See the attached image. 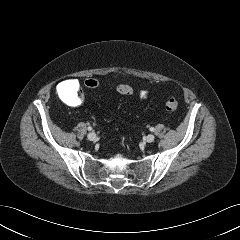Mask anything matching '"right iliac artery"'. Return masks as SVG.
<instances>
[{
    "label": "right iliac artery",
    "instance_id": "82829eb1",
    "mask_svg": "<svg viewBox=\"0 0 240 240\" xmlns=\"http://www.w3.org/2000/svg\"><path fill=\"white\" fill-rule=\"evenodd\" d=\"M89 131H91L92 130V127L91 126H88V128H87Z\"/></svg>",
    "mask_w": 240,
    "mask_h": 240
}]
</instances>
